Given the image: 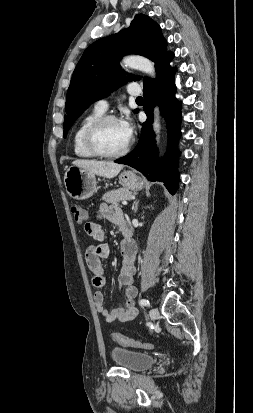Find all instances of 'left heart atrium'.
Segmentation results:
<instances>
[{
	"label": "left heart atrium",
	"mask_w": 253,
	"mask_h": 413,
	"mask_svg": "<svg viewBox=\"0 0 253 413\" xmlns=\"http://www.w3.org/2000/svg\"><path fill=\"white\" fill-rule=\"evenodd\" d=\"M120 129L122 130L123 134L126 136L128 140L132 138L134 126L128 116L121 118L118 121Z\"/></svg>",
	"instance_id": "39dd6f15"
}]
</instances>
